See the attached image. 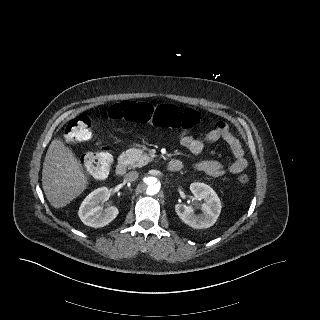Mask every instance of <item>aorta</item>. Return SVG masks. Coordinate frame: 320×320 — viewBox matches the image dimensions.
<instances>
[{
	"label": "aorta",
	"instance_id": "obj_1",
	"mask_svg": "<svg viewBox=\"0 0 320 320\" xmlns=\"http://www.w3.org/2000/svg\"><path fill=\"white\" fill-rule=\"evenodd\" d=\"M142 185L146 190V193L150 196L156 195L161 189L158 179L152 176L143 178Z\"/></svg>",
	"mask_w": 320,
	"mask_h": 320
}]
</instances>
